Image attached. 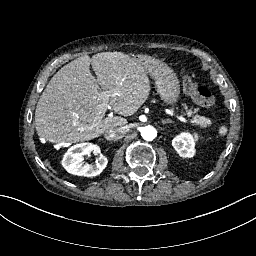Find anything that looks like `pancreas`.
Wrapping results in <instances>:
<instances>
[{"label":"pancreas","mask_w":256,"mask_h":256,"mask_svg":"<svg viewBox=\"0 0 256 256\" xmlns=\"http://www.w3.org/2000/svg\"><path fill=\"white\" fill-rule=\"evenodd\" d=\"M183 106L187 110L186 104H183ZM187 115L188 116L192 115V110L191 109L187 110ZM193 123L196 124V125H200L201 128H205V127L211 125L210 119H208L204 116H199V115H197L193 118Z\"/></svg>","instance_id":"cf45deb5"}]
</instances>
